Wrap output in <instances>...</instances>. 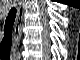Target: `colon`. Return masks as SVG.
Returning a JSON list of instances; mask_svg holds the SVG:
<instances>
[{
    "label": "colon",
    "mask_w": 80,
    "mask_h": 60,
    "mask_svg": "<svg viewBox=\"0 0 80 60\" xmlns=\"http://www.w3.org/2000/svg\"><path fill=\"white\" fill-rule=\"evenodd\" d=\"M1 57H2V58H5V56H4V55H1Z\"/></svg>",
    "instance_id": "5ec220e1"
}]
</instances>
